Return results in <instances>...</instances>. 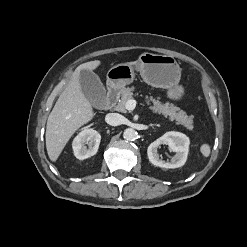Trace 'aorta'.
<instances>
[{"label":"aorta","mask_w":247,"mask_h":247,"mask_svg":"<svg viewBox=\"0 0 247 247\" xmlns=\"http://www.w3.org/2000/svg\"><path fill=\"white\" fill-rule=\"evenodd\" d=\"M123 137L129 141L135 140L137 137V132L133 128H127L124 130Z\"/></svg>","instance_id":"aorta-1"}]
</instances>
